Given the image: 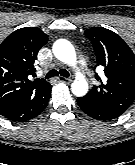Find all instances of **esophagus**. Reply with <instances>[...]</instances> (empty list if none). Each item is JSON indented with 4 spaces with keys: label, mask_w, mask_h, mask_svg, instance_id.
Listing matches in <instances>:
<instances>
[{
    "label": "esophagus",
    "mask_w": 135,
    "mask_h": 165,
    "mask_svg": "<svg viewBox=\"0 0 135 165\" xmlns=\"http://www.w3.org/2000/svg\"><path fill=\"white\" fill-rule=\"evenodd\" d=\"M58 80L60 82H63V83H71L72 82V79L71 78H66V77H63V76H59L58 77Z\"/></svg>",
    "instance_id": "1"
}]
</instances>
